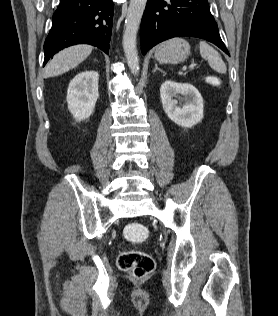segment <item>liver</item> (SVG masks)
<instances>
[{"instance_id": "6515ba94", "label": "liver", "mask_w": 278, "mask_h": 316, "mask_svg": "<svg viewBox=\"0 0 278 316\" xmlns=\"http://www.w3.org/2000/svg\"><path fill=\"white\" fill-rule=\"evenodd\" d=\"M92 50L90 45H75L60 51L47 64L44 77H55L68 72L83 62Z\"/></svg>"}]
</instances>
